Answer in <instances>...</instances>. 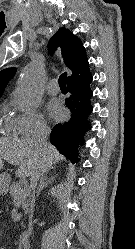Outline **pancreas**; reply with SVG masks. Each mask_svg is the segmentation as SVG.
Instances as JSON below:
<instances>
[{
    "label": "pancreas",
    "mask_w": 135,
    "mask_h": 249,
    "mask_svg": "<svg viewBox=\"0 0 135 249\" xmlns=\"http://www.w3.org/2000/svg\"><path fill=\"white\" fill-rule=\"evenodd\" d=\"M10 195L13 198V203L15 206H22L26 208L28 205L27 198L29 197V192H26L22 185L19 183H13L10 186Z\"/></svg>",
    "instance_id": "1"
}]
</instances>
